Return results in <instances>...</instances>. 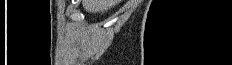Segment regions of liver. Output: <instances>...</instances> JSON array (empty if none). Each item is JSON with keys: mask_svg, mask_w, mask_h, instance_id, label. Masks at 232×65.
I'll return each mask as SVG.
<instances>
[{"mask_svg": "<svg viewBox=\"0 0 232 65\" xmlns=\"http://www.w3.org/2000/svg\"><path fill=\"white\" fill-rule=\"evenodd\" d=\"M121 0H82V5L87 12L96 13L110 9Z\"/></svg>", "mask_w": 232, "mask_h": 65, "instance_id": "1", "label": "liver"}]
</instances>
